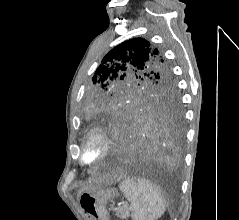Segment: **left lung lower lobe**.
Listing matches in <instances>:
<instances>
[{
  "instance_id": "1",
  "label": "left lung lower lobe",
  "mask_w": 239,
  "mask_h": 220,
  "mask_svg": "<svg viewBox=\"0 0 239 220\" xmlns=\"http://www.w3.org/2000/svg\"><path fill=\"white\" fill-rule=\"evenodd\" d=\"M95 123L110 132L114 143L112 164L174 165L181 159L182 112L155 109L133 112L112 108L102 112Z\"/></svg>"
}]
</instances>
